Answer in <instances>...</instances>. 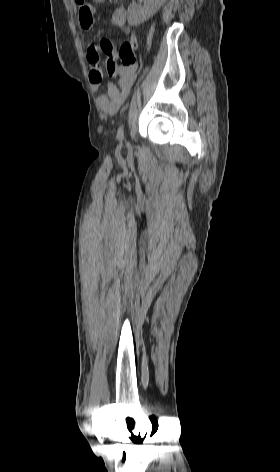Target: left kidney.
I'll return each mask as SVG.
<instances>
[{
	"instance_id": "1",
	"label": "left kidney",
	"mask_w": 280,
	"mask_h": 472,
	"mask_svg": "<svg viewBox=\"0 0 280 472\" xmlns=\"http://www.w3.org/2000/svg\"><path fill=\"white\" fill-rule=\"evenodd\" d=\"M165 0H145L143 5L132 3L128 7V23L137 26L152 17Z\"/></svg>"
}]
</instances>
